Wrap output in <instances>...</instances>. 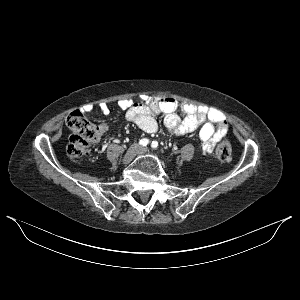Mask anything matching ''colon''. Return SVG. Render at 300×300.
Instances as JSON below:
<instances>
[{"mask_svg": "<svg viewBox=\"0 0 300 300\" xmlns=\"http://www.w3.org/2000/svg\"><path fill=\"white\" fill-rule=\"evenodd\" d=\"M66 125L72 134L67 145V154L77 160L89 152V147L95 139V126L80 112L74 111L66 118ZM232 147L227 141H221L216 148V155L222 161L231 158Z\"/></svg>", "mask_w": 300, "mask_h": 300, "instance_id": "colon-1", "label": "colon"}]
</instances>
